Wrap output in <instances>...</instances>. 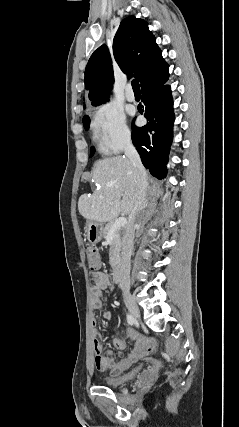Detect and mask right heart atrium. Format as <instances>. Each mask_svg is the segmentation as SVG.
<instances>
[{
  "label": "right heart atrium",
  "mask_w": 239,
  "mask_h": 427,
  "mask_svg": "<svg viewBox=\"0 0 239 427\" xmlns=\"http://www.w3.org/2000/svg\"><path fill=\"white\" fill-rule=\"evenodd\" d=\"M93 127L107 152L119 153L132 142L125 115L113 104H106L96 112Z\"/></svg>",
  "instance_id": "right-heart-atrium-1"
}]
</instances>
